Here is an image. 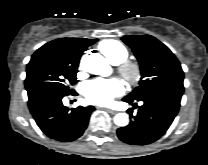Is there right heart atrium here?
Here are the masks:
<instances>
[{
	"label": "right heart atrium",
	"mask_w": 208,
	"mask_h": 165,
	"mask_svg": "<svg viewBox=\"0 0 208 165\" xmlns=\"http://www.w3.org/2000/svg\"><path fill=\"white\" fill-rule=\"evenodd\" d=\"M84 69V58L81 59L80 63H79V70L82 71Z\"/></svg>",
	"instance_id": "d8ad5b80"
}]
</instances>
